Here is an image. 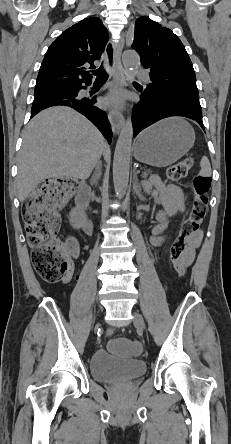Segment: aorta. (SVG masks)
Wrapping results in <instances>:
<instances>
[{"label": "aorta", "mask_w": 231, "mask_h": 444, "mask_svg": "<svg viewBox=\"0 0 231 444\" xmlns=\"http://www.w3.org/2000/svg\"><path fill=\"white\" fill-rule=\"evenodd\" d=\"M122 62L128 80L133 81L140 64L139 55L134 51H126L122 55ZM132 137L133 124L131 117H128L121 129L113 160L114 189L119 198L124 197L128 187Z\"/></svg>", "instance_id": "obj_1"}]
</instances>
